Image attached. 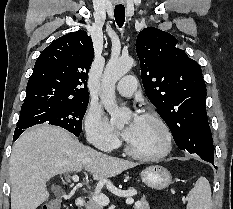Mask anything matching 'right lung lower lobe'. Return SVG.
Wrapping results in <instances>:
<instances>
[{
	"instance_id": "obj_1",
	"label": "right lung lower lobe",
	"mask_w": 233,
	"mask_h": 209,
	"mask_svg": "<svg viewBox=\"0 0 233 209\" xmlns=\"http://www.w3.org/2000/svg\"><path fill=\"white\" fill-rule=\"evenodd\" d=\"M23 133V132H22ZM22 133L14 132L13 140L15 141Z\"/></svg>"
}]
</instances>
